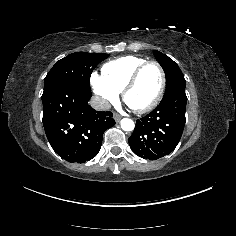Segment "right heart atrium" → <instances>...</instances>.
I'll use <instances>...</instances> for the list:
<instances>
[{
    "label": "right heart atrium",
    "instance_id": "obj_1",
    "mask_svg": "<svg viewBox=\"0 0 236 236\" xmlns=\"http://www.w3.org/2000/svg\"><path fill=\"white\" fill-rule=\"evenodd\" d=\"M90 85L102 107L113 104L119 97V94L110 88L102 76L95 71L91 73Z\"/></svg>",
    "mask_w": 236,
    "mask_h": 236
}]
</instances>
